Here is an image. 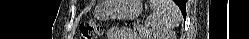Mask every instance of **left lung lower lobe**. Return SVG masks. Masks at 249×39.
I'll return each instance as SVG.
<instances>
[{"label": "left lung lower lobe", "instance_id": "1", "mask_svg": "<svg viewBox=\"0 0 249 39\" xmlns=\"http://www.w3.org/2000/svg\"><path fill=\"white\" fill-rule=\"evenodd\" d=\"M175 2L178 4V6L181 9L183 15L186 14V11H185L186 1L185 0H175ZM180 4H182V7H180Z\"/></svg>", "mask_w": 249, "mask_h": 39}]
</instances>
